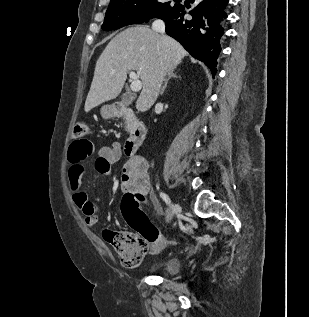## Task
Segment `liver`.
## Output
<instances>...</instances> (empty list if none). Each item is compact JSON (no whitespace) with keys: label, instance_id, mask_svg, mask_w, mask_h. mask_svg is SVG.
Instances as JSON below:
<instances>
[{"label":"liver","instance_id":"6515ba94","mask_svg":"<svg viewBox=\"0 0 309 317\" xmlns=\"http://www.w3.org/2000/svg\"><path fill=\"white\" fill-rule=\"evenodd\" d=\"M186 55L176 40L148 27L125 29L108 43L97 60L85 112L115 99L129 70L136 71L142 82L136 108L147 111L155 103L166 73L175 69Z\"/></svg>","mask_w":309,"mask_h":317}]
</instances>
